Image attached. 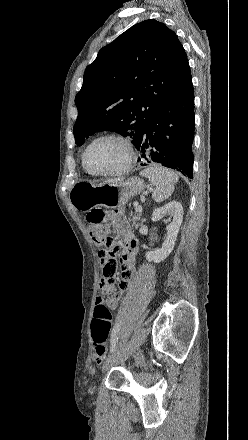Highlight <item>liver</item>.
<instances>
[{"label": "liver", "mask_w": 248, "mask_h": 440, "mask_svg": "<svg viewBox=\"0 0 248 440\" xmlns=\"http://www.w3.org/2000/svg\"><path fill=\"white\" fill-rule=\"evenodd\" d=\"M113 181H117V180H111V181H109V182H113Z\"/></svg>", "instance_id": "1"}]
</instances>
